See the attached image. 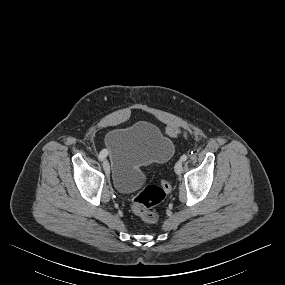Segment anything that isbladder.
Returning a JSON list of instances; mask_svg holds the SVG:
<instances>
[{
	"mask_svg": "<svg viewBox=\"0 0 285 285\" xmlns=\"http://www.w3.org/2000/svg\"><path fill=\"white\" fill-rule=\"evenodd\" d=\"M105 148L113 186L122 194L140 189L145 181L143 168L168 160L174 152L172 142L147 121L109 131Z\"/></svg>",
	"mask_w": 285,
	"mask_h": 285,
	"instance_id": "bladder-1",
	"label": "bladder"
}]
</instances>
